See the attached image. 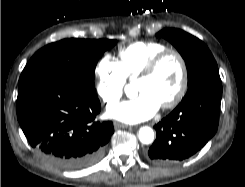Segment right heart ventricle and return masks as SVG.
Segmentation results:
<instances>
[{
	"label": "right heart ventricle",
	"mask_w": 245,
	"mask_h": 187,
	"mask_svg": "<svg viewBox=\"0 0 245 187\" xmlns=\"http://www.w3.org/2000/svg\"><path fill=\"white\" fill-rule=\"evenodd\" d=\"M167 48L157 41H135L118 49L117 62L125 78L134 79L155 54Z\"/></svg>",
	"instance_id": "e07e8e85"
}]
</instances>
